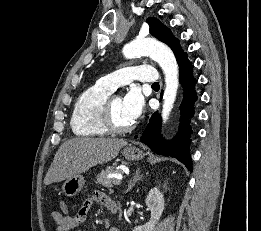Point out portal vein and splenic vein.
Segmentation results:
<instances>
[{"instance_id":"1","label":"portal vein and splenic vein","mask_w":261,"mask_h":231,"mask_svg":"<svg viewBox=\"0 0 261 231\" xmlns=\"http://www.w3.org/2000/svg\"><path fill=\"white\" fill-rule=\"evenodd\" d=\"M110 177H111V176L108 175V178H110ZM121 180H122V175H121V174L117 175V177H116V179H115V181H114V184H115V185H119V184L121 183Z\"/></svg>"}]
</instances>
